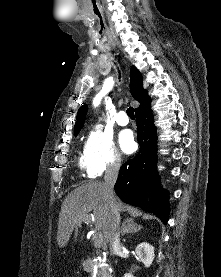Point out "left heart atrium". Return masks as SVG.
<instances>
[{
    "label": "left heart atrium",
    "mask_w": 221,
    "mask_h": 277,
    "mask_svg": "<svg viewBox=\"0 0 221 277\" xmlns=\"http://www.w3.org/2000/svg\"><path fill=\"white\" fill-rule=\"evenodd\" d=\"M119 143L121 149L126 153H131L136 148V143L133 137V134L129 130H125L120 133Z\"/></svg>",
    "instance_id": "39dd6f15"
}]
</instances>
